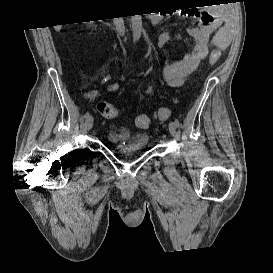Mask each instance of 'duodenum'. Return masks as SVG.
<instances>
[{
  "label": "duodenum",
  "mask_w": 273,
  "mask_h": 273,
  "mask_svg": "<svg viewBox=\"0 0 273 273\" xmlns=\"http://www.w3.org/2000/svg\"><path fill=\"white\" fill-rule=\"evenodd\" d=\"M152 20H153V21H156V18H153Z\"/></svg>",
  "instance_id": "duodenum-1"
}]
</instances>
